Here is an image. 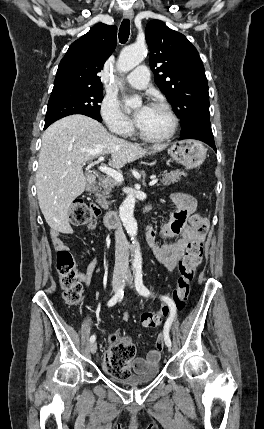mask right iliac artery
I'll use <instances>...</instances> for the list:
<instances>
[{
  "instance_id": "82829eb1",
  "label": "right iliac artery",
  "mask_w": 264,
  "mask_h": 429,
  "mask_svg": "<svg viewBox=\"0 0 264 429\" xmlns=\"http://www.w3.org/2000/svg\"><path fill=\"white\" fill-rule=\"evenodd\" d=\"M124 286H125V281L123 280V283H122V285L120 286V288H119V290L116 292V294L108 301V303H107V306L108 307H111V306H114L116 303H117V301L119 300V299H121L122 297H123V289H124ZM96 340V336L95 335H92L91 337H90V342H94Z\"/></svg>"
}]
</instances>
